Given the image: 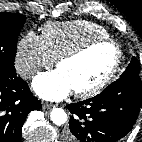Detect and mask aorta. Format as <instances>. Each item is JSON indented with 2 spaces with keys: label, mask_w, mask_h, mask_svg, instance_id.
Wrapping results in <instances>:
<instances>
[{
  "label": "aorta",
  "mask_w": 142,
  "mask_h": 142,
  "mask_svg": "<svg viewBox=\"0 0 142 142\" xmlns=\"http://www.w3.org/2000/svg\"><path fill=\"white\" fill-rule=\"evenodd\" d=\"M50 117L52 122L58 126L63 125L67 121V114L62 108L52 109Z\"/></svg>",
  "instance_id": "aorta-1"
}]
</instances>
